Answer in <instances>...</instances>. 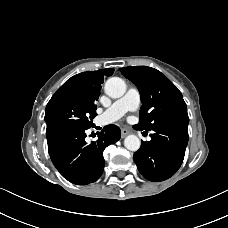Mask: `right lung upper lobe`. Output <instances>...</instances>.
I'll return each instance as SVG.
<instances>
[{
    "mask_svg": "<svg viewBox=\"0 0 228 228\" xmlns=\"http://www.w3.org/2000/svg\"><path fill=\"white\" fill-rule=\"evenodd\" d=\"M114 69L83 72L71 77L60 88L73 91L82 100L95 103L98 100L104 75L110 76Z\"/></svg>",
    "mask_w": 228,
    "mask_h": 228,
    "instance_id": "right-lung-upper-lobe-1",
    "label": "right lung upper lobe"
}]
</instances>
